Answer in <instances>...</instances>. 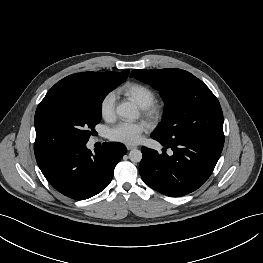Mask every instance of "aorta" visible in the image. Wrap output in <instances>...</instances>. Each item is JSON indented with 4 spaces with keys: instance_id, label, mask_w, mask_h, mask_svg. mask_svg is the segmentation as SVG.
<instances>
[{
    "instance_id": "aorta-1",
    "label": "aorta",
    "mask_w": 263,
    "mask_h": 263,
    "mask_svg": "<svg viewBox=\"0 0 263 263\" xmlns=\"http://www.w3.org/2000/svg\"><path fill=\"white\" fill-rule=\"evenodd\" d=\"M116 113L122 118L134 120L138 118L139 112L136 106L130 102H125L117 106ZM129 159L132 162H140L142 159V152L138 149H132L129 152Z\"/></svg>"
}]
</instances>
